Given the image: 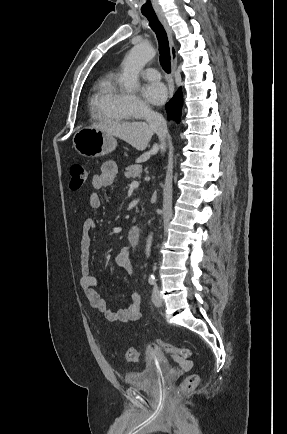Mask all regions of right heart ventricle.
I'll return each mask as SVG.
<instances>
[{
	"label": "right heart ventricle",
	"instance_id": "1",
	"mask_svg": "<svg viewBox=\"0 0 287 434\" xmlns=\"http://www.w3.org/2000/svg\"><path fill=\"white\" fill-rule=\"evenodd\" d=\"M120 93L114 73L101 76L95 83L90 98L92 116L99 121L125 122L130 116L121 106Z\"/></svg>",
	"mask_w": 287,
	"mask_h": 434
}]
</instances>
